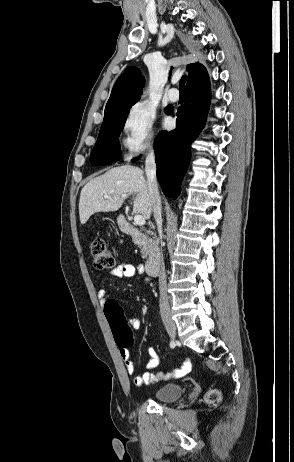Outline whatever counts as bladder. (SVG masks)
Returning a JSON list of instances; mask_svg holds the SVG:
<instances>
[{
  "label": "bladder",
  "mask_w": 294,
  "mask_h": 462,
  "mask_svg": "<svg viewBox=\"0 0 294 462\" xmlns=\"http://www.w3.org/2000/svg\"><path fill=\"white\" fill-rule=\"evenodd\" d=\"M184 389L179 384H166L159 387L153 394V398L160 402H171L178 399Z\"/></svg>",
  "instance_id": "31cf9c89"
}]
</instances>
